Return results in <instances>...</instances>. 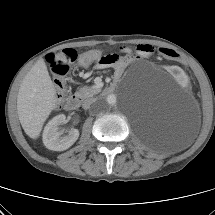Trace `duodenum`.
<instances>
[{"mask_svg": "<svg viewBox=\"0 0 215 215\" xmlns=\"http://www.w3.org/2000/svg\"><path fill=\"white\" fill-rule=\"evenodd\" d=\"M114 87H115V83L112 84V85H110V86L106 89V92H107V93L112 92L113 89H114ZM81 102H82V99H81L80 96H78V95H72V96H70V97L67 99V101H66V103H65V108H66V110H68V111H75V110H77V109L80 107Z\"/></svg>", "mask_w": 215, "mask_h": 215, "instance_id": "410a0bca", "label": "duodenum"}]
</instances>
